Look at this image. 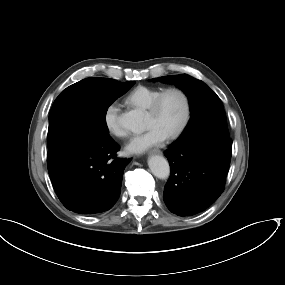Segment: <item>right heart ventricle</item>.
I'll list each match as a JSON object with an SVG mask.
<instances>
[{"label":"right heart ventricle","mask_w":285,"mask_h":285,"mask_svg":"<svg viewBox=\"0 0 285 285\" xmlns=\"http://www.w3.org/2000/svg\"><path fill=\"white\" fill-rule=\"evenodd\" d=\"M161 91V88L139 85L126 95L124 101L130 106L147 109Z\"/></svg>","instance_id":"right-heart-ventricle-1"}]
</instances>
